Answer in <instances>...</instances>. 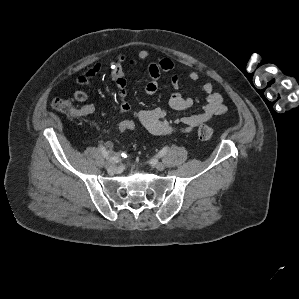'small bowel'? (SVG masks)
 I'll return each instance as SVG.
<instances>
[{
  "label": "small bowel",
  "mask_w": 299,
  "mask_h": 299,
  "mask_svg": "<svg viewBox=\"0 0 299 299\" xmlns=\"http://www.w3.org/2000/svg\"><path fill=\"white\" fill-rule=\"evenodd\" d=\"M151 54L147 50H141L135 57H127L120 55L114 63L109 73L110 79L117 87V97L119 100V111L121 113H128L131 111V106L128 103L127 96V82L125 79L124 65L134 67L140 62L149 61ZM147 71L149 74V81L145 85L147 94L152 95L158 90V82L163 73H168L173 70L174 63L170 58H162L157 61H149L147 63ZM99 71V66L92 67L84 76L81 77L80 82L86 83L91 77H94ZM191 81H197L199 74L192 71L188 75ZM171 85L174 92L171 94L168 105L174 111H184L192 108L198 103V100L184 97L179 91V76L174 74L171 76ZM206 94V103L202 110L198 113L189 114L176 120H171L167 117V112L162 108L143 109L134 112V120L146 129L150 134L155 136L169 135L180 131L189 133L193 131L200 124L207 122L212 117L222 115L227 111L224 104L223 97L220 93L215 92L211 83H205L202 87ZM74 99L77 102H85L87 94L83 90H77L74 93ZM95 108L92 104H85L81 107L83 115H89L94 112ZM95 127H98L95 124ZM105 147L112 151L113 143L111 141L105 142Z\"/></svg>",
  "instance_id": "1"
}]
</instances>
